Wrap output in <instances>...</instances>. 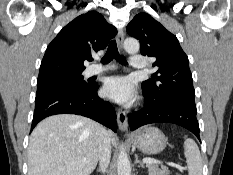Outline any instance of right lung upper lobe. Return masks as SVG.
<instances>
[{
	"instance_id": "1",
	"label": "right lung upper lobe",
	"mask_w": 233,
	"mask_h": 175,
	"mask_svg": "<svg viewBox=\"0 0 233 175\" xmlns=\"http://www.w3.org/2000/svg\"><path fill=\"white\" fill-rule=\"evenodd\" d=\"M117 33L96 11L80 15L67 24L46 49L38 78L82 73L91 52L105 49Z\"/></svg>"
}]
</instances>
